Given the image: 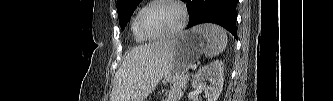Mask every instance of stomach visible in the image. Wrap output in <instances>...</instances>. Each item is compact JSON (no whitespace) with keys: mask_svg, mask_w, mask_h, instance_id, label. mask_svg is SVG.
<instances>
[{"mask_svg":"<svg viewBox=\"0 0 333 101\" xmlns=\"http://www.w3.org/2000/svg\"><path fill=\"white\" fill-rule=\"evenodd\" d=\"M170 46L171 55L164 80L175 83L198 61L205 50V43L203 36L192 29L171 39Z\"/></svg>","mask_w":333,"mask_h":101,"instance_id":"obj_1","label":"stomach"}]
</instances>
